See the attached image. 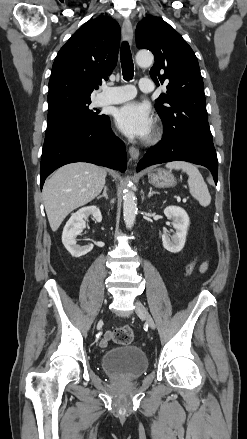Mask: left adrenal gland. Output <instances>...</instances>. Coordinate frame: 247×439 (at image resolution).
I'll list each match as a JSON object with an SVG mask.
<instances>
[{
    "label": "left adrenal gland",
    "mask_w": 247,
    "mask_h": 439,
    "mask_svg": "<svg viewBox=\"0 0 247 439\" xmlns=\"http://www.w3.org/2000/svg\"><path fill=\"white\" fill-rule=\"evenodd\" d=\"M154 194H160L159 192L153 191L152 187H149V193H148V197L150 198L151 196H153Z\"/></svg>",
    "instance_id": "a2214340"
}]
</instances>
